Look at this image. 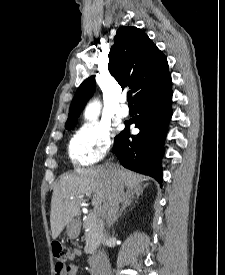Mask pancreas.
Returning a JSON list of instances; mask_svg holds the SVG:
<instances>
[{
    "label": "pancreas",
    "mask_w": 225,
    "mask_h": 275,
    "mask_svg": "<svg viewBox=\"0 0 225 275\" xmlns=\"http://www.w3.org/2000/svg\"><path fill=\"white\" fill-rule=\"evenodd\" d=\"M83 228L85 230V240H86L85 252L87 254H93L101 238L100 223L95 218H88L83 223Z\"/></svg>",
    "instance_id": "1"
}]
</instances>
